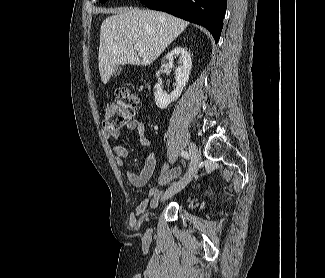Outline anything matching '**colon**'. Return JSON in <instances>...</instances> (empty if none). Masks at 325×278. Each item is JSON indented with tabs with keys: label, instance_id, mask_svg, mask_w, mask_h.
<instances>
[{
	"label": "colon",
	"instance_id": "obj_1",
	"mask_svg": "<svg viewBox=\"0 0 325 278\" xmlns=\"http://www.w3.org/2000/svg\"><path fill=\"white\" fill-rule=\"evenodd\" d=\"M116 100L103 107V127L107 131L117 130L132 120L138 99L129 90H116Z\"/></svg>",
	"mask_w": 325,
	"mask_h": 278
}]
</instances>
